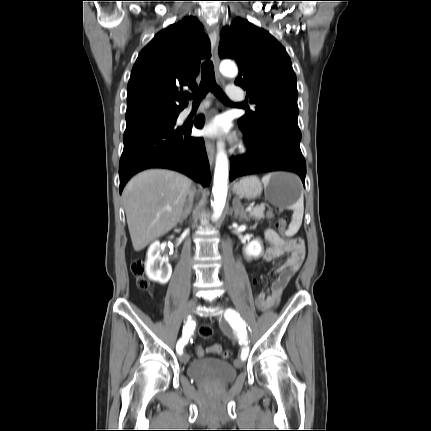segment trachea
<instances>
[{
	"label": "trachea",
	"mask_w": 431,
	"mask_h": 431,
	"mask_svg": "<svg viewBox=\"0 0 431 431\" xmlns=\"http://www.w3.org/2000/svg\"><path fill=\"white\" fill-rule=\"evenodd\" d=\"M201 73V82L196 92L194 94L187 93L185 97L187 99H193L194 104H199L206 94L211 91L221 101L230 104V100L216 83L214 67L211 61H206L202 64Z\"/></svg>",
	"instance_id": "3493384b"
}]
</instances>
